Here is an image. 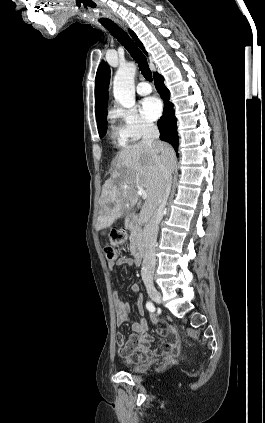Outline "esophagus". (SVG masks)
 Instances as JSON below:
<instances>
[{
    "label": "esophagus",
    "instance_id": "34e87169",
    "mask_svg": "<svg viewBox=\"0 0 265 423\" xmlns=\"http://www.w3.org/2000/svg\"><path fill=\"white\" fill-rule=\"evenodd\" d=\"M113 19H114V21H115L116 23H118L120 26H122L123 28H125V29H126V27H125L124 23H122L120 20H118V19H116V18H113Z\"/></svg>",
    "mask_w": 265,
    "mask_h": 423
}]
</instances>
